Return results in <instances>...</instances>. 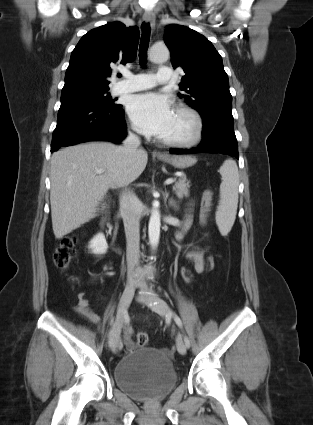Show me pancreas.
Masks as SVG:
<instances>
[{"label": "pancreas", "mask_w": 313, "mask_h": 425, "mask_svg": "<svg viewBox=\"0 0 313 425\" xmlns=\"http://www.w3.org/2000/svg\"><path fill=\"white\" fill-rule=\"evenodd\" d=\"M190 181L187 180L186 176L183 174L178 181L175 182L173 186V191L182 199L184 196H189Z\"/></svg>", "instance_id": "1"}]
</instances>
